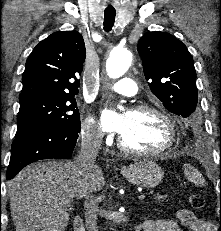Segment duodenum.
I'll return each instance as SVG.
<instances>
[{
    "label": "duodenum",
    "instance_id": "410a0bca",
    "mask_svg": "<svg viewBox=\"0 0 221 231\" xmlns=\"http://www.w3.org/2000/svg\"><path fill=\"white\" fill-rule=\"evenodd\" d=\"M73 226L74 231H84L83 220L79 216L75 218ZM133 231H138V229L135 228Z\"/></svg>",
    "mask_w": 221,
    "mask_h": 231
}]
</instances>
